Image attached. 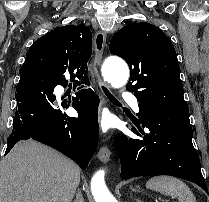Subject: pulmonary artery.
Listing matches in <instances>:
<instances>
[{
  "mask_svg": "<svg viewBox=\"0 0 209 202\" xmlns=\"http://www.w3.org/2000/svg\"><path fill=\"white\" fill-rule=\"evenodd\" d=\"M122 99L134 110H139V100L132 94L128 92H124L122 95Z\"/></svg>",
  "mask_w": 209,
  "mask_h": 202,
  "instance_id": "obj_1",
  "label": "pulmonary artery"
}]
</instances>
